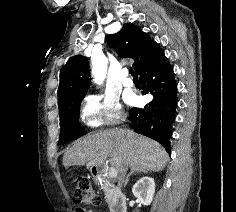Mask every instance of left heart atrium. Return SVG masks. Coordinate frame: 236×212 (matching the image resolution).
<instances>
[{"label": "left heart atrium", "mask_w": 236, "mask_h": 212, "mask_svg": "<svg viewBox=\"0 0 236 212\" xmlns=\"http://www.w3.org/2000/svg\"><path fill=\"white\" fill-rule=\"evenodd\" d=\"M127 102H128V103H133V102H134V97L128 98V99H127Z\"/></svg>", "instance_id": "1"}]
</instances>
